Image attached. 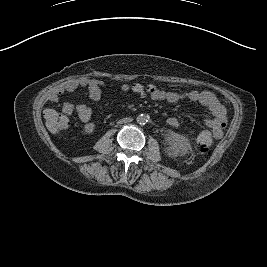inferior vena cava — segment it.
Segmentation results:
<instances>
[{
    "label": "inferior vena cava",
    "mask_w": 267,
    "mask_h": 267,
    "mask_svg": "<svg viewBox=\"0 0 267 267\" xmlns=\"http://www.w3.org/2000/svg\"><path fill=\"white\" fill-rule=\"evenodd\" d=\"M131 121H132L131 118H125V120H124L125 123L131 122Z\"/></svg>",
    "instance_id": "obj_1"
}]
</instances>
